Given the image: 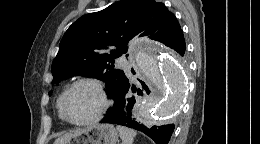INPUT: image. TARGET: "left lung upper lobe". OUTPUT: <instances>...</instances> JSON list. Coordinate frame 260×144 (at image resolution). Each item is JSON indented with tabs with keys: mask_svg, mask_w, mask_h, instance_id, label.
Returning <instances> with one entry per match:
<instances>
[{
	"mask_svg": "<svg viewBox=\"0 0 260 144\" xmlns=\"http://www.w3.org/2000/svg\"><path fill=\"white\" fill-rule=\"evenodd\" d=\"M180 30L174 14L154 0H121L83 15L60 42L52 63V83L79 75L97 78L106 82L107 95L113 98L126 78L113 63L127 52L130 40L147 36L166 45Z\"/></svg>",
	"mask_w": 260,
	"mask_h": 144,
	"instance_id": "5c2ea615",
	"label": "left lung upper lobe"
}]
</instances>
